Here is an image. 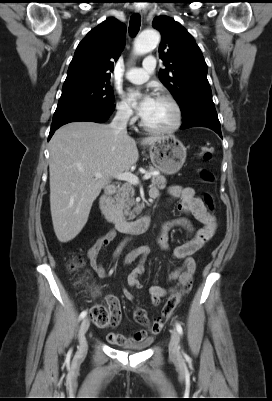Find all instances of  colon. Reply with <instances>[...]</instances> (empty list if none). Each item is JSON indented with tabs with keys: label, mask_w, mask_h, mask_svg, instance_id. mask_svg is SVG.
<instances>
[{
	"label": "colon",
	"mask_w": 272,
	"mask_h": 401,
	"mask_svg": "<svg viewBox=\"0 0 272 401\" xmlns=\"http://www.w3.org/2000/svg\"><path fill=\"white\" fill-rule=\"evenodd\" d=\"M214 153V148L210 145H204L201 146L200 148V158L203 161H209L211 160L212 156ZM200 175L202 177V179L206 182H212L213 181V174L211 171H209L208 169L202 168L200 171ZM204 201L206 203V205L208 206V208L210 210L213 209V198L210 194H206L204 196ZM83 265V260L79 257H75L73 258L69 264H68V268L70 271H78ZM86 278V275H83L79 284L82 285L84 279ZM191 287V282L188 281L186 282L182 288L177 291L176 293L172 294L167 302L165 303L163 310H162V314L156 318L154 321H150L146 315V313L142 310L139 309L136 312V320L144 325H150L153 323L156 324H160V323H164L168 320V318L171 316L173 310L177 307V305L180 303L182 297L184 294H186ZM91 318L93 320V322L97 325V326H101V327H106L109 325H112V314L111 311L108 307L106 306H98V307H94L91 310Z\"/></svg>",
	"instance_id": "colon-1"
}]
</instances>
